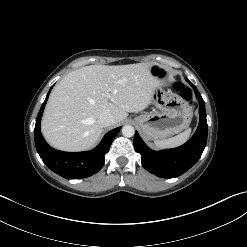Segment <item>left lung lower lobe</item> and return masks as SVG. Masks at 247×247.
<instances>
[{
  "label": "left lung lower lobe",
  "instance_id": "0a47b994",
  "mask_svg": "<svg viewBox=\"0 0 247 247\" xmlns=\"http://www.w3.org/2000/svg\"><path fill=\"white\" fill-rule=\"evenodd\" d=\"M186 81L194 89L200 105V123L193 137L180 147L156 152L146 146L137 132L134 135V147L141 154L142 165L158 177L175 178L182 175L199 160L206 146L208 125L205 103L196 86L188 79Z\"/></svg>",
  "mask_w": 247,
  "mask_h": 247
}]
</instances>
